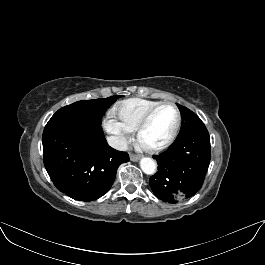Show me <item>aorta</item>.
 I'll return each instance as SVG.
<instances>
[{
    "label": "aorta",
    "mask_w": 265,
    "mask_h": 265,
    "mask_svg": "<svg viewBox=\"0 0 265 265\" xmlns=\"http://www.w3.org/2000/svg\"><path fill=\"white\" fill-rule=\"evenodd\" d=\"M140 167L145 174L151 175L156 170V162L152 158L144 157L140 160Z\"/></svg>",
    "instance_id": "1"
}]
</instances>
